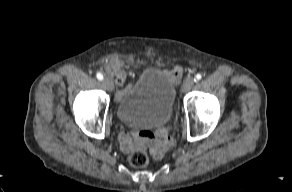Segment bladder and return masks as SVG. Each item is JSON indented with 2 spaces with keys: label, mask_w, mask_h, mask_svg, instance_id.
Listing matches in <instances>:
<instances>
[{
  "label": "bladder",
  "mask_w": 292,
  "mask_h": 192,
  "mask_svg": "<svg viewBox=\"0 0 292 192\" xmlns=\"http://www.w3.org/2000/svg\"><path fill=\"white\" fill-rule=\"evenodd\" d=\"M175 86L161 70L149 68L123 92L117 116L133 127H156L168 123L174 112Z\"/></svg>",
  "instance_id": "1"
}]
</instances>
